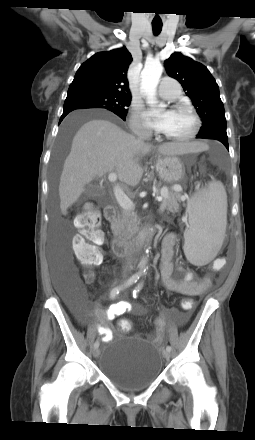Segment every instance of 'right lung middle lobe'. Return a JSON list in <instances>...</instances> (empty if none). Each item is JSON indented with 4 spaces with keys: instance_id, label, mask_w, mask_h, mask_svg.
Segmentation results:
<instances>
[{
    "instance_id": "dd1d6c3e",
    "label": "right lung middle lobe",
    "mask_w": 255,
    "mask_h": 440,
    "mask_svg": "<svg viewBox=\"0 0 255 440\" xmlns=\"http://www.w3.org/2000/svg\"><path fill=\"white\" fill-rule=\"evenodd\" d=\"M130 102V97L125 95L89 92L67 96L64 109L104 108L124 119L127 113L126 107L130 105Z\"/></svg>"
}]
</instances>
